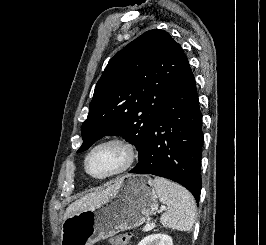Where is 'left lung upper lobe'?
Instances as JSON below:
<instances>
[{
  "mask_svg": "<svg viewBox=\"0 0 266 245\" xmlns=\"http://www.w3.org/2000/svg\"><path fill=\"white\" fill-rule=\"evenodd\" d=\"M187 64L180 44L160 29L119 51L96 84L77 153L105 135H122L136 146L140 160L151 124Z\"/></svg>",
  "mask_w": 266,
  "mask_h": 245,
  "instance_id": "obj_1",
  "label": "left lung upper lobe"
}]
</instances>
